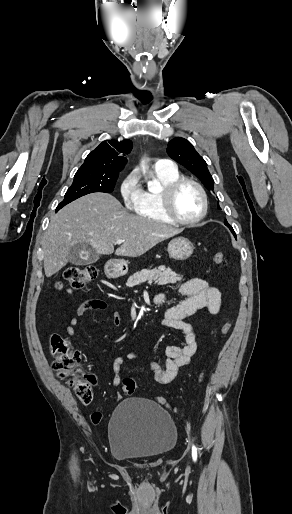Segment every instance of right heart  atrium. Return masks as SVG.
I'll return each mask as SVG.
<instances>
[{"label":"right heart atrium","mask_w":292,"mask_h":514,"mask_svg":"<svg viewBox=\"0 0 292 514\" xmlns=\"http://www.w3.org/2000/svg\"><path fill=\"white\" fill-rule=\"evenodd\" d=\"M119 197L124 201V209H134L140 206L144 189L139 183L138 174L135 171L127 173L119 183Z\"/></svg>","instance_id":"obj_1"}]
</instances>
